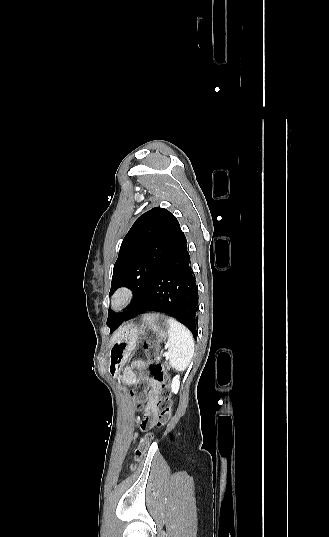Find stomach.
Here are the masks:
<instances>
[{"label":"stomach","mask_w":329,"mask_h":537,"mask_svg":"<svg viewBox=\"0 0 329 537\" xmlns=\"http://www.w3.org/2000/svg\"><path fill=\"white\" fill-rule=\"evenodd\" d=\"M152 333L158 341L169 335V318L164 314L150 313L142 317L139 324H131L119 335L109 348V372L117 376L126 364L141 336Z\"/></svg>","instance_id":"0dacf381"}]
</instances>
